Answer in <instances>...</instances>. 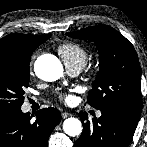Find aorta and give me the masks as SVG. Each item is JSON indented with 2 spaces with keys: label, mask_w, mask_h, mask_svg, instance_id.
I'll return each mask as SVG.
<instances>
[{
  "label": "aorta",
  "mask_w": 147,
  "mask_h": 147,
  "mask_svg": "<svg viewBox=\"0 0 147 147\" xmlns=\"http://www.w3.org/2000/svg\"><path fill=\"white\" fill-rule=\"evenodd\" d=\"M34 71L40 79L48 82L56 81L63 77V65L60 60L51 54L39 56L34 63ZM64 132L72 137L82 132L81 121L77 118H68L63 123Z\"/></svg>",
  "instance_id": "762f6f07"
}]
</instances>
